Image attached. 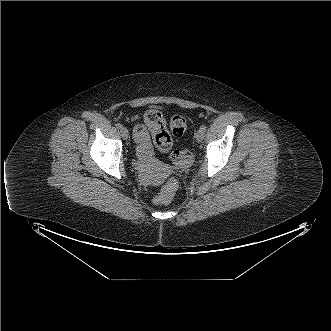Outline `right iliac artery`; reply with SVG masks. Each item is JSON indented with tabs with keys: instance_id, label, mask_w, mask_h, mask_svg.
<instances>
[{
	"instance_id": "82829eb1",
	"label": "right iliac artery",
	"mask_w": 331,
	"mask_h": 331,
	"mask_svg": "<svg viewBox=\"0 0 331 331\" xmlns=\"http://www.w3.org/2000/svg\"><path fill=\"white\" fill-rule=\"evenodd\" d=\"M116 127H117L118 129H120V128L122 127V125H121L120 123H117V124H116Z\"/></svg>"
}]
</instances>
